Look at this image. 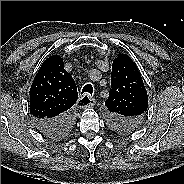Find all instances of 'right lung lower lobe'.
Masks as SVG:
<instances>
[{
    "label": "right lung lower lobe",
    "instance_id": "obj_1",
    "mask_svg": "<svg viewBox=\"0 0 184 184\" xmlns=\"http://www.w3.org/2000/svg\"><path fill=\"white\" fill-rule=\"evenodd\" d=\"M36 128L43 134L49 136L64 131L68 126L73 124L71 111L55 119L48 121L34 119Z\"/></svg>",
    "mask_w": 184,
    "mask_h": 184
}]
</instances>
